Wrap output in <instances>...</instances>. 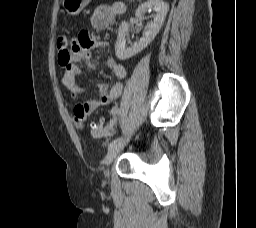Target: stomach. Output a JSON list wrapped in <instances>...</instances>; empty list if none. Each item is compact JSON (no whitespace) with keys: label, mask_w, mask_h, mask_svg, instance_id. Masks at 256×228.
Instances as JSON below:
<instances>
[{"label":"stomach","mask_w":256,"mask_h":228,"mask_svg":"<svg viewBox=\"0 0 256 228\" xmlns=\"http://www.w3.org/2000/svg\"><path fill=\"white\" fill-rule=\"evenodd\" d=\"M91 0H62V5L70 15L79 14Z\"/></svg>","instance_id":"0dacf381"}]
</instances>
